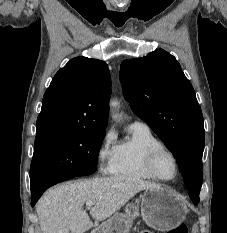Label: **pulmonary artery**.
<instances>
[{"label": "pulmonary artery", "mask_w": 227, "mask_h": 233, "mask_svg": "<svg viewBox=\"0 0 227 233\" xmlns=\"http://www.w3.org/2000/svg\"><path fill=\"white\" fill-rule=\"evenodd\" d=\"M131 126L148 128V125L141 120H135L134 122H132Z\"/></svg>", "instance_id": "obj_1"}]
</instances>
